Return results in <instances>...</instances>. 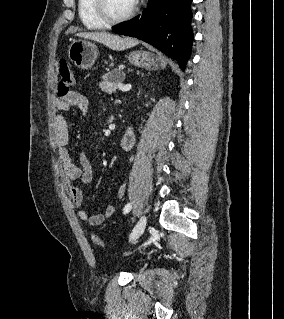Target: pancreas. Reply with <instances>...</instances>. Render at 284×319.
<instances>
[{"mask_svg":"<svg viewBox=\"0 0 284 319\" xmlns=\"http://www.w3.org/2000/svg\"><path fill=\"white\" fill-rule=\"evenodd\" d=\"M114 73H119V76H115ZM125 79V75L121 71H111L102 76V81L99 83V87L103 92L112 94L119 88V85Z\"/></svg>","mask_w":284,"mask_h":319,"instance_id":"obj_1","label":"pancreas"}]
</instances>
